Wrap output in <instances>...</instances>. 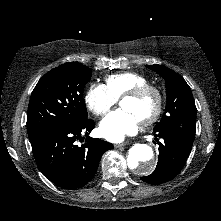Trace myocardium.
<instances>
[{
	"mask_svg": "<svg viewBox=\"0 0 221 221\" xmlns=\"http://www.w3.org/2000/svg\"><path fill=\"white\" fill-rule=\"evenodd\" d=\"M149 94H153L156 98V106L154 111L141 120V123L144 125H149L155 122L162 113L163 110V95L160 89L154 85L146 84L139 87H136L128 92H126L121 98L120 101L126 98L140 99Z\"/></svg>",
	"mask_w": 221,
	"mask_h": 221,
	"instance_id": "f54148a6",
	"label": "myocardium"
}]
</instances>
